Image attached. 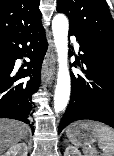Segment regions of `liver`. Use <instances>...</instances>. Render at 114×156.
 <instances>
[{
  "mask_svg": "<svg viewBox=\"0 0 114 156\" xmlns=\"http://www.w3.org/2000/svg\"><path fill=\"white\" fill-rule=\"evenodd\" d=\"M29 128L15 120L0 119V155L28 136Z\"/></svg>",
  "mask_w": 114,
  "mask_h": 156,
  "instance_id": "1",
  "label": "liver"
}]
</instances>
